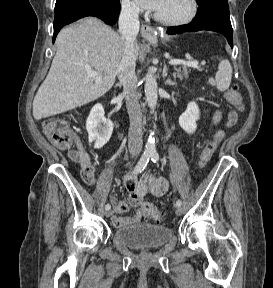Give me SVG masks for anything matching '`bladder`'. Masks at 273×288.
I'll return each mask as SVG.
<instances>
[{
    "label": "bladder",
    "instance_id": "31cf9c89",
    "mask_svg": "<svg viewBox=\"0 0 273 288\" xmlns=\"http://www.w3.org/2000/svg\"><path fill=\"white\" fill-rule=\"evenodd\" d=\"M122 246L133 250L160 248L173 237L166 226L149 223H136L118 227L113 235Z\"/></svg>",
    "mask_w": 273,
    "mask_h": 288
}]
</instances>
